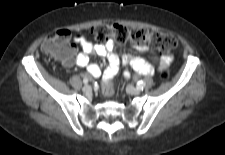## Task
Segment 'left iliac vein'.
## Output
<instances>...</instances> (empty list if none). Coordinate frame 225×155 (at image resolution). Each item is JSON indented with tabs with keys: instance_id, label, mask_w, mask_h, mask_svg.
<instances>
[{
	"instance_id": "4c4485c4",
	"label": "left iliac vein",
	"mask_w": 225,
	"mask_h": 155,
	"mask_svg": "<svg viewBox=\"0 0 225 155\" xmlns=\"http://www.w3.org/2000/svg\"><path fill=\"white\" fill-rule=\"evenodd\" d=\"M126 91L131 95H139L140 94V90L135 88L132 85H127Z\"/></svg>"
}]
</instances>
